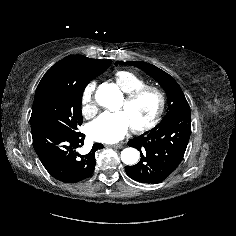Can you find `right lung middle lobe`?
<instances>
[{
	"label": "right lung middle lobe",
	"mask_w": 236,
	"mask_h": 236,
	"mask_svg": "<svg viewBox=\"0 0 236 236\" xmlns=\"http://www.w3.org/2000/svg\"><path fill=\"white\" fill-rule=\"evenodd\" d=\"M103 72L76 82L49 80L38 86L30 118L31 127L45 126L71 135L78 134V126L83 121L81 100L84 89Z\"/></svg>",
	"instance_id": "obj_1"
}]
</instances>
